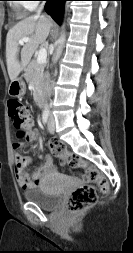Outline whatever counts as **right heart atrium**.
Returning a JSON list of instances; mask_svg holds the SVG:
<instances>
[{
    "label": "right heart atrium",
    "mask_w": 133,
    "mask_h": 253,
    "mask_svg": "<svg viewBox=\"0 0 133 253\" xmlns=\"http://www.w3.org/2000/svg\"><path fill=\"white\" fill-rule=\"evenodd\" d=\"M36 0H25L23 3L26 9H33L36 6Z\"/></svg>",
    "instance_id": "1"
}]
</instances>
